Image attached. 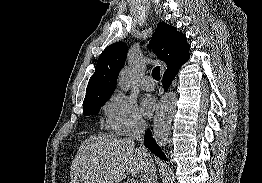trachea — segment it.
I'll list each match as a JSON object with an SVG mask.
<instances>
[{"mask_svg": "<svg viewBox=\"0 0 262 183\" xmlns=\"http://www.w3.org/2000/svg\"><path fill=\"white\" fill-rule=\"evenodd\" d=\"M152 77L159 81L161 79V76H160V67L157 66L155 67L153 70H152Z\"/></svg>", "mask_w": 262, "mask_h": 183, "instance_id": "1", "label": "trachea"}]
</instances>
